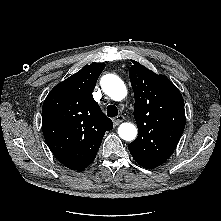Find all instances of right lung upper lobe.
<instances>
[{
	"mask_svg": "<svg viewBox=\"0 0 221 221\" xmlns=\"http://www.w3.org/2000/svg\"><path fill=\"white\" fill-rule=\"evenodd\" d=\"M104 63L85 66L56 85L42 107L44 138L54 154L66 167L78 170L94 156L112 121L92 98Z\"/></svg>",
	"mask_w": 221,
	"mask_h": 221,
	"instance_id": "obj_1",
	"label": "right lung upper lobe"
}]
</instances>
